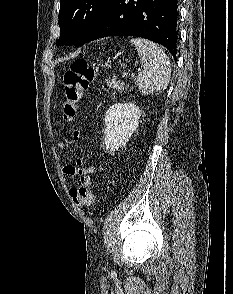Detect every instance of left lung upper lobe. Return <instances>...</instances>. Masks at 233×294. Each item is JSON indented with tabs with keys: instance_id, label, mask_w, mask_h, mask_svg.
Returning a JSON list of instances; mask_svg holds the SVG:
<instances>
[{
	"instance_id": "left-lung-upper-lobe-1",
	"label": "left lung upper lobe",
	"mask_w": 233,
	"mask_h": 294,
	"mask_svg": "<svg viewBox=\"0 0 233 294\" xmlns=\"http://www.w3.org/2000/svg\"><path fill=\"white\" fill-rule=\"evenodd\" d=\"M112 0H61L59 11L60 37L56 45L76 47L86 40L101 21Z\"/></svg>"
}]
</instances>
